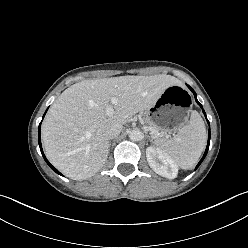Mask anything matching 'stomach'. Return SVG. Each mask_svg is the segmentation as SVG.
Listing matches in <instances>:
<instances>
[{
    "mask_svg": "<svg viewBox=\"0 0 248 248\" xmlns=\"http://www.w3.org/2000/svg\"><path fill=\"white\" fill-rule=\"evenodd\" d=\"M190 110L191 98L187 90L181 85H172L146 110V122L163 134L174 133L188 122Z\"/></svg>",
    "mask_w": 248,
    "mask_h": 248,
    "instance_id": "0dacf381",
    "label": "stomach"
}]
</instances>
